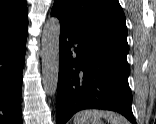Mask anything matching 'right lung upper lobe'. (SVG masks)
Wrapping results in <instances>:
<instances>
[{
    "mask_svg": "<svg viewBox=\"0 0 156 124\" xmlns=\"http://www.w3.org/2000/svg\"><path fill=\"white\" fill-rule=\"evenodd\" d=\"M26 0H0V32L26 29Z\"/></svg>",
    "mask_w": 156,
    "mask_h": 124,
    "instance_id": "right-lung-upper-lobe-1",
    "label": "right lung upper lobe"
}]
</instances>
